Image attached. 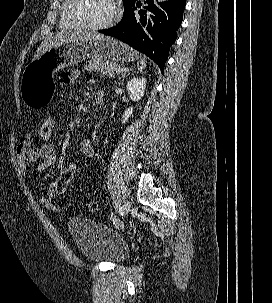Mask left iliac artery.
Wrapping results in <instances>:
<instances>
[{
  "instance_id": "1",
  "label": "left iliac artery",
  "mask_w": 272,
  "mask_h": 303,
  "mask_svg": "<svg viewBox=\"0 0 272 303\" xmlns=\"http://www.w3.org/2000/svg\"><path fill=\"white\" fill-rule=\"evenodd\" d=\"M114 205H115V208H116L118 211H121V207H120L119 201L115 200V201H114Z\"/></svg>"
}]
</instances>
